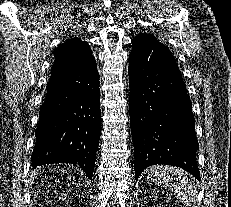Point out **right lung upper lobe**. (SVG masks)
I'll return each instance as SVG.
<instances>
[{
  "label": "right lung upper lobe",
  "instance_id": "right-lung-upper-lobe-1",
  "mask_svg": "<svg viewBox=\"0 0 231 207\" xmlns=\"http://www.w3.org/2000/svg\"><path fill=\"white\" fill-rule=\"evenodd\" d=\"M54 56L55 62L53 65L71 71L91 58L92 51L87 42H82L79 38H73L58 46L54 51Z\"/></svg>",
  "mask_w": 231,
  "mask_h": 207
}]
</instances>
